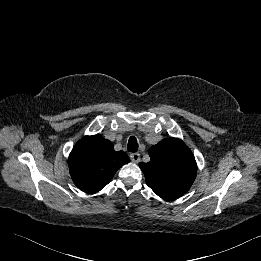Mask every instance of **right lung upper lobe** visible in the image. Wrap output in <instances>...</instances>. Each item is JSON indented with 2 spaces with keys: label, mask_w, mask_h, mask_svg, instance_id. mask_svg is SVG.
I'll return each instance as SVG.
<instances>
[{
  "label": "right lung upper lobe",
  "mask_w": 261,
  "mask_h": 261,
  "mask_svg": "<svg viewBox=\"0 0 261 261\" xmlns=\"http://www.w3.org/2000/svg\"><path fill=\"white\" fill-rule=\"evenodd\" d=\"M129 161L125 152L115 151L109 140L97 134L76 143L68 164L74 184L84 192L94 193L103 189Z\"/></svg>",
  "instance_id": "cb5924a9"
}]
</instances>
